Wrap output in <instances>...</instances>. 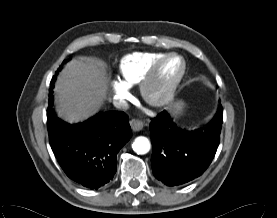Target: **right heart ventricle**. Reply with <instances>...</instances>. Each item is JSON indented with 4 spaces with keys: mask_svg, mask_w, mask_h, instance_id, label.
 I'll return each instance as SVG.
<instances>
[{
    "mask_svg": "<svg viewBox=\"0 0 277 218\" xmlns=\"http://www.w3.org/2000/svg\"><path fill=\"white\" fill-rule=\"evenodd\" d=\"M164 54L162 52H134L123 57L119 66L123 82L127 86L141 84L151 65Z\"/></svg>",
    "mask_w": 277,
    "mask_h": 218,
    "instance_id": "obj_1",
    "label": "right heart ventricle"
}]
</instances>
